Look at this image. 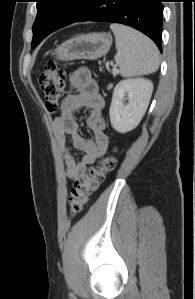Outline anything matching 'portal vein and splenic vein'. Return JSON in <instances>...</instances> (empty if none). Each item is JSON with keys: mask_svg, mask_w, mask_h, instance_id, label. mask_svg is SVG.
Masks as SVG:
<instances>
[{"mask_svg": "<svg viewBox=\"0 0 195 299\" xmlns=\"http://www.w3.org/2000/svg\"><path fill=\"white\" fill-rule=\"evenodd\" d=\"M119 72V70L117 68H113V73L117 74Z\"/></svg>", "mask_w": 195, "mask_h": 299, "instance_id": "portal-vein-and-splenic-vein-1", "label": "portal vein and splenic vein"}]
</instances>
